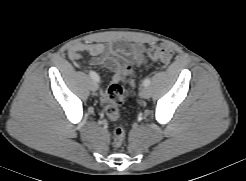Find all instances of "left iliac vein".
<instances>
[{"label":"left iliac vein","instance_id":"4c4485c4","mask_svg":"<svg viewBox=\"0 0 246 181\" xmlns=\"http://www.w3.org/2000/svg\"><path fill=\"white\" fill-rule=\"evenodd\" d=\"M140 96L142 98H149L151 96V90L148 86H142L140 89Z\"/></svg>","mask_w":246,"mask_h":181}]
</instances>
